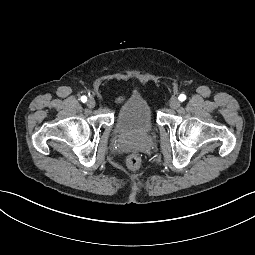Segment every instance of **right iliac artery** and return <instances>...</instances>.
<instances>
[{
  "mask_svg": "<svg viewBox=\"0 0 255 255\" xmlns=\"http://www.w3.org/2000/svg\"><path fill=\"white\" fill-rule=\"evenodd\" d=\"M81 101H82V102H86V101H87V97H86V96H82V97H81Z\"/></svg>",
  "mask_w": 255,
  "mask_h": 255,
  "instance_id": "82829eb1",
  "label": "right iliac artery"
}]
</instances>
